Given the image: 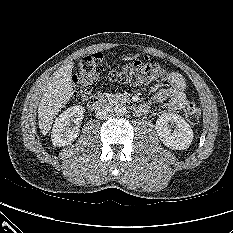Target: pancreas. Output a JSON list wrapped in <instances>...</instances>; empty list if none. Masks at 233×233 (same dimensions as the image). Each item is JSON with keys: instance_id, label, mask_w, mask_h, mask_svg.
Returning a JSON list of instances; mask_svg holds the SVG:
<instances>
[{"instance_id": "obj_1", "label": "pancreas", "mask_w": 233, "mask_h": 233, "mask_svg": "<svg viewBox=\"0 0 233 233\" xmlns=\"http://www.w3.org/2000/svg\"><path fill=\"white\" fill-rule=\"evenodd\" d=\"M102 96H104V97H109L110 95H109V94H103Z\"/></svg>"}]
</instances>
